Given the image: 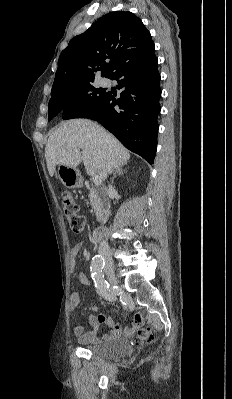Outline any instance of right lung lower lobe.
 I'll list each match as a JSON object with an SVG mask.
<instances>
[{
    "mask_svg": "<svg viewBox=\"0 0 232 399\" xmlns=\"http://www.w3.org/2000/svg\"><path fill=\"white\" fill-rule=\"evenodd\" d=\"M157 65L153 52L117 70L110 79L117 80L120 98L115 99L108 92L98 107L80 112L73 118L100 122L126 148L153 164L157 150V116L161 95ZM116 105L121 110L114 109ZM63 119H66L64 115Z\"/></svg>",
    "mask_w": 232,
    "mask_h": 399,
    "instance_id": "98d812e1",
    "label": "right lung lower lobe"
}]
</instances>
